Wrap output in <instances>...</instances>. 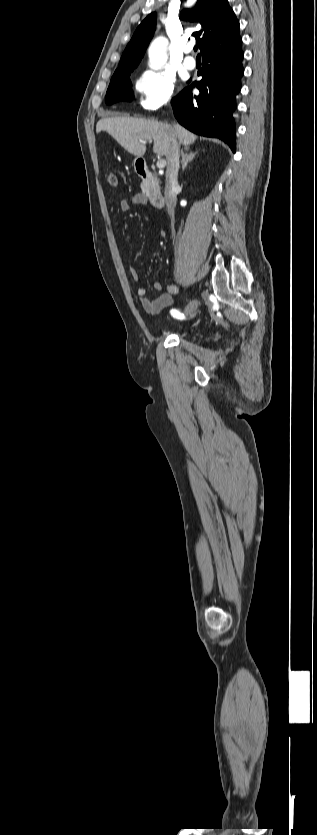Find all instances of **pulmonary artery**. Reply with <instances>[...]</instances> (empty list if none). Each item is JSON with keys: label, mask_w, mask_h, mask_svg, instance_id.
Masks as SVG:
<instances>
[{"label": "pulmonary artery", "mask_w": 317, "mask_h": 835, "mask_svg": "<svg viewBox=\"0 0 317 835\" xmlns=\"http://www.w3.org/2000/svg\"><path fill=\"white\" fill-rule=\"evenodd\" d=\"M193 48L194 47L191 44L187 45L185 48L186 56L183 60V65L186 69L189 70H193L196 67V60L191 55L192 51L194 50Z\"/></svg>", "instance_id": "obj_1"}]
</instances>
